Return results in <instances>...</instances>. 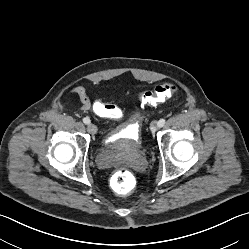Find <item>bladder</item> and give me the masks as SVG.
Returning a JSON list of instances; mask_svg holds the SVG:
<instances>
[{
  "label": "bladder",
  "mask_w": 249,
  "mask_h": 249,
  "mask_svg": "<svg viewBox=\"0 0 249 249\" xmlns=\"http://www.w3.org/2000/svg\"><path fill=\"white\" fill-rule=\"evenodd\" d=\"M137 117H139V114H137ZM104 147L107 157L104 165H106L112 163L116 155L140 153L143 150V141L138 129L125 124L106 136Z\"/></svg>",
  "instance_id": "bladder-1"
}]
</instances>
